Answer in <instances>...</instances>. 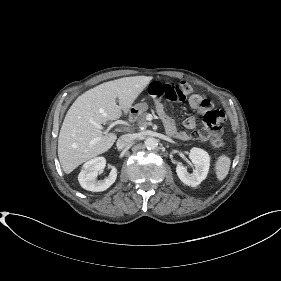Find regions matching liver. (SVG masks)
I'll return each mask as SVG.
<instances>
[{"label":"liver","mask_w":281,"mask_h":281,"mask_svg":"<svg viewBox=\"0 0 281 281\" xmlns=\"http://www.w3.org/2000/svg\"><path fill=\"white\" fill-rule=\"evenodd\" d=\"M151 80V76H133L105 82L74 101L67 111L58 138V157L66 174L109 150L116 140V134L104 135L102 129L96 128L91 121L101 125L127 114ZM96 137L102 138L90 144Z\"/></svg>","instance_id":"liver-1"}]
</instances>
